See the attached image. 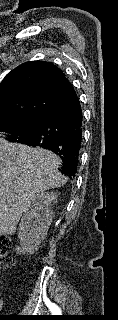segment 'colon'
<instances>
[{
	"mask_svg": "<svg viewBox=\"0 0 118 320\" xmlns=\"http://www.w3.org/2000/svg\"><path fill=\"white\" fill-rule=\"evenodd\" d=\"M12 242L7 236H0V264H10L11 259L8 257V249L10 248Z\"/></svg>",
	"mask_w": 118,
	"mask_h": 320,
	"instance_id": "1",
	"label": "colon"
}]
</instances>
